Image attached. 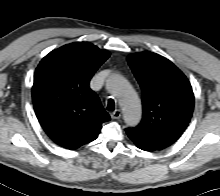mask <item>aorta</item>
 I'll use <instances>...</instances> for the list:
<instances>
[{
    "instance_id": "aorta-1",
    "label": "aorta",
    "mask_w": 220,
    "mask_h": 196,
    "mask_svg": "<svg viewBox=\"0 0 220 196\" xmlns=\"http://www.w3.org/2000/svg\"><path fill=\"white\" fill-rule=\"evenodd\" d=\"M106 85L118 99L125 123L128 126L137 125L141 119V103L130 83L121 75H112Z\"/></svg>"
}]
</instances>
